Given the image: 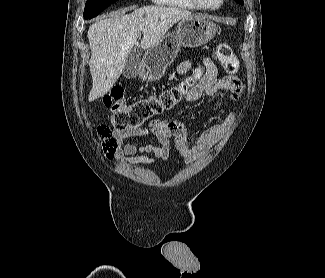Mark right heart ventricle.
<instances>
[{
  "label": "right heart ventricle",
  "instance_id": "obj_1",
  "mask_svg": "<svg viewBox=\"0 0 325 278\" xmlns=\"http://www.w3.org/2000/svg\"><path fill=\"white\" fill-rule=\"evenodd\" d=\"M155 3L184 10H199L201 9L194 0H153Z\"/></svg>",
  "mask_w": 325,
  "mask_h": 278
}]
</instances>
